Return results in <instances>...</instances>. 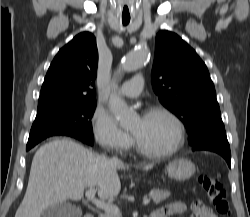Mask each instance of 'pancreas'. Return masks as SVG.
<instances>
[{"instance_id":"pancreas-1","label":"pancreas","mask_w":250,"mask_h":217,"mask_svg":"<svg viewBox=\"0 0 250 217\" xmlns=\"http://www.w3.org/2000/svg\"><path fill=\"white\" fill-rule=\"evenodd\" d=\"M170 196V192L168 190H160V189H152L149 193V197L152 198L155 204H159L164 201L166 198ZM99 217H120V214H113L109 212H105Z\"/></svg>"}]
</instances>
